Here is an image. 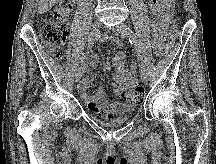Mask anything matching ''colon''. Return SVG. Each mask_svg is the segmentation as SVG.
Segmentation results:
<instances>
[{"label": "colon", "instance_id": "5ec220e1", "mask_svg": "<svg viewBox=\"0 0 216 164\" xmlns=\"http://www.w3.org/2000/svg\"><path fill=\"white\" fill-rule=\"evenodd\" d=\"M73 7V0H61L55 8L54 19L47 22L42 30V40L48 44L51 54L57 59L64 56V45L68 32V19ZM170 41L176 43L180 38L178 20L171 17ZM145 98V90L138 86L125 95V100L130 104H140Z\"/></svg>", "mask_w": 216, "mask_h": 164}]
</instances>
